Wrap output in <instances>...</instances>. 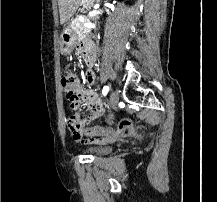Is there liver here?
I'll return each mask as SVG.
<instances>
[{
	"label": "liver",
	"mask_w": 217,
	"mask_h": 202,
	"mask_svg": "<svg viewBox=\"0 0 217 202\" xmlns=\"http://www.w3.org/2000/svg\"><path fill=\"white\" fill-rule=\"evenodd\" d=\"M82 0H58L60 24L69 22L70 18L74 16L76 10H78Z\"/></svg>",
	"instance_id": "1"
}]
</instances>
